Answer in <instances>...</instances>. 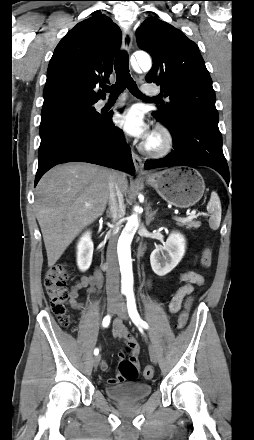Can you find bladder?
<instances>
[{
    "label": "bladder",
    "mask_w": 254,
    "mask_h": 440,
    "mask_svg": "<svg viewBox=\"0 0 254 440\" xmlns=\"http://www.w3.org/2000/svg\"><path fill=\"white\" fill-rule=\"evenodd\" d=\"M106 394L121 403L131 404L137 403L152 393V385L145 382L124 383L105 388Z\"/></svg>",
    "instance_id": "bladder-1"
}]
</instances>
